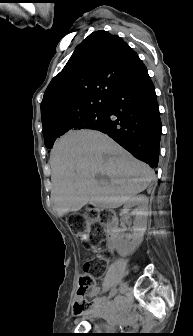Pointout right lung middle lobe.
Returning a JSON list of instances; mask_svg holds the SVG:
<instances>
[{"mask_svg":"<svg viewBox=\"0 0 193 336\" xmlns=\"http://www.w3.org/2000/svg\"><path fill=\"white\" fill-rule=\"evenodd\" d=\"M108 113L106 108L98 109L78 118L73 124V130L77 129H101L107 122ZM57 137L44 140L47 148H52Z\"/></svg>","mask_w":193,"mask_h":336,"instance_id":"dd1d6c3e","label":"right lung middle lobe"}]
</instances>
